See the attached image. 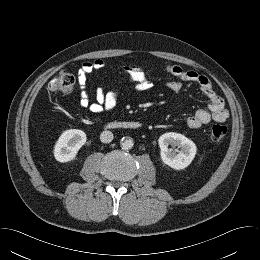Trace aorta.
<instances>
[{
    "label": "aorta",
    "mask_w": 260,
    "mask_h": 260,
    "mask_svg": "<svg viewBox=\"0 0 260 260\" xmlns=\"http://www.w3.org/2000/svg\"><path fill=\"white\" fill-rule=\"evenodd\" d=\"M133 139L132 138H123L120 142V146L124 150H129L133 147Z\"/></svg>",
    "instance_id": "1"
}]
</instances>
